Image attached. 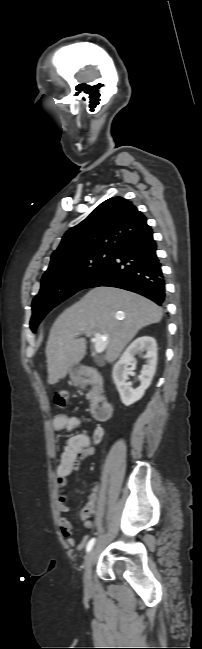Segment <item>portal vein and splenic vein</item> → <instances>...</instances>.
Here are the masks:
<instances>
[{"label": "portal vein and splenic vein", "instance_id": "18ae733b", "mask_svg": "<svg viewBox=\"0 0 202 649\" xmlns=\"http://www.w3.org/2000/svg\"><path fill=\"white\" fill-rule=\"evenodd\" d=\"M78 334L76 333V335ZM92 341L94 342L96 352L101 353L106 348L107 337L105 335L96 332Z\"/></svg>", "mask_w": 202, "mask_h": 649}]
</instances>
